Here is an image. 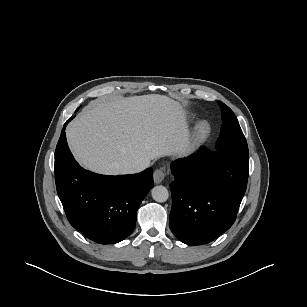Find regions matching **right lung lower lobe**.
Returning a JSON list of instances; mask_svg holds the SVG:
<instances>
[{
	"label": "right lung lower lobe",
	"mask_w": 307,
	"mask_h": 307,
	"mask_svg": "<svg viewBox=\"0 0 307 307\" xmlns=\"http://www.w3.org/2000/svg\"><path fill=\"white\" fill-rule=\"evenodd\" d=\"M67 122L55 150V182L66 216L97 243L120 242L135 228L138 207L153 187V170L106 176L83 169L69 150Z\"/></svg>",
	"instance_id": "98d812e1"
}]
</instances>
